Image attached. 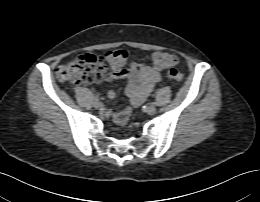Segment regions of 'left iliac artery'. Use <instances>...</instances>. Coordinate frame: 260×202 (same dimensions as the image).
<instances>
[{
    "mask_svg": "<svg viewBox=\"0 0 260 202\" xmlns=\"http://www.w3.org/2000/svg\"><path fill=\"white\" fill-rule=\"evenodd\" d=\"M150 105H155V102H151V103H149Z\"/></svg>",
    "mask_w": 260,
    "mask_h": 202,
    "instance_id": "1",
    "label": "left iliac artery"
}]
</instances>
